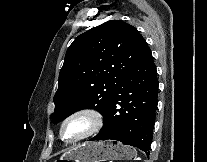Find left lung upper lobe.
I'll use <instances>...</instances> for the list:
<instances>
[{
	"mask_svg": "<svg viewBox=\"0 0 207 162\" xmlns=\"http://www.w3.org/2000/svg\"><path fill=\"white\" fill-rule=\"evenodd\" d=\"M149 50L137 29L121 20L79 35L66 52L50 118L57 123L84 108L104 116L119 86Z\"/></svg>",
	"mask_w": 207,
	"mask_h": 162,
	"instance_id": "left-lung-upper-lobe-1",
	"label": "left lung upper lobe"
}]
</instances>
